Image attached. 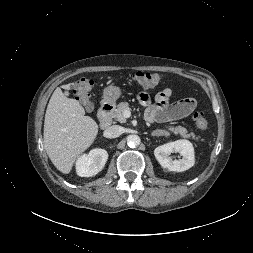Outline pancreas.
Masks as SVG:
<instances>
[{
  "instance_id": "pancreas-1",
  "label": "pancreas",
  "mask_w": 253,
  "mask_h": 253,
  "mask_svg": "<svg viewBox=\"0 0 253 253\" xmlns=\"http://www.w3.org/2000/svg\"><path fill=\"white\" fill-rule=\"evenodd\" d=\"M126 110H130L129 107V103L128 102H121L117 105V108L115 109L112 117L119 121L120 123H125L126 122V118L124 117V111ZM168 130L173 132L176 135H180L183 138H191L194 140H198L199 137H196V135L194 133H188L187 129L182 127V126H177V127H173V126H169ZM165 133H167L169 135L168 131H164Z\"/></svg>"
}]
</instances>
